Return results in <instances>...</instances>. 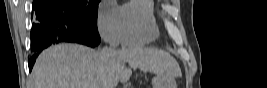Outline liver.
<instances>
[{"instance_id": "1", "label": "liver", "mask_w": 267, "mask_h": 88, "mask_svg": "<svg viewBox=\"0 0 267 88\" xmlns=\"http://www.w3.org/2000/svg\"><path fill=\"white\" fill-rule=\"evenodd\" d=\"M132 69L171 78L180 76L177 61L158 49L132 46L102 52L71 43L43 51L35 62L32 76L34 88H115L119 80H129Z\"/></svg>"}]
</instances>
